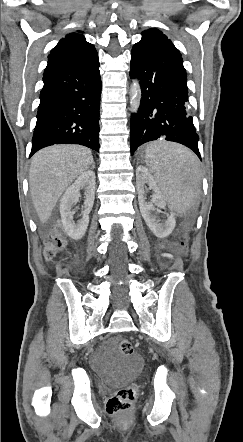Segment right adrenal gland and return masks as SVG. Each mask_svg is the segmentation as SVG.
Segmentation results:
<instances>
[{
    "instance_id": "2a0ac1e0",
    "label": "right adrenal gland",
    "mask_w": 243,
    "mask_h": 442,
    "mask_svg": "<svg viewBox=\"0 0 243 442\" xmlns=\"http://www.w3.org/2000/svg\"><path fill=\"white\" fill-rule=\"evenodd\" d=\"M94 167H95V164L93 163V164H92V168L94 169Z\"/></svg>"
}]
</instances>
